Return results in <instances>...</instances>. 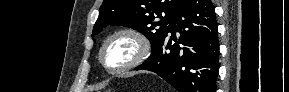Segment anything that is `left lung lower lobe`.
Here are the masks:
<instances>
[{"mask_svg":"<svg viewBox=\"0 0 289 92\" xmlns=\"http://www.w3.org/2000/svg\"><path fill=\"white\" fill-rule=\"evenodd\" d=\"M217 27L211 0H182L157 51L136 70L157 73L179 92H215L220 67Z\"/></svg>","mask_w":289,"mask_h":92,"instance_id":"obj_1","label":"left lung lower lobe"}]
</instances>
